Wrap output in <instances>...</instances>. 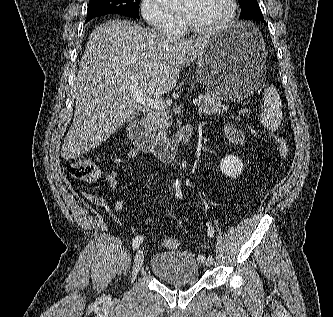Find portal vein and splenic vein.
<instances>
[{
  "instance_id": "obj_1",
  "label": "portal vein and splenic vein",
  "mask_w": 333,
  "mask_h": 317,
  "mask_svg": "<svg viewBox=\"0 0 333 317\" xmlns=\"http://www.w3.org/2000/svg\"><path fill=\"white\" fill-rule=\"evenodd\" d=\"M129 90H130V97L134 101L156 110L166 109V105L162 100L146 96L143 92H141L137 88V86H130ZM202 98L203 97H199L198 99L193 100V104L200 105Z\"/></svg>"
}]
</instances>
